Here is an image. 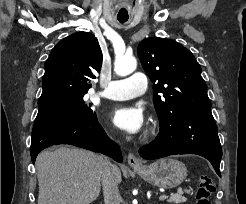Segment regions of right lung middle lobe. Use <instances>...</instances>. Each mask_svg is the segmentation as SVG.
Returning <instances> with one entry per match:
<instances>
[{
  "label": "right lung middle lobe",
  "mask_w": 246,
  "mask_h": 204,
  "mask_svg": "<svg viewBox=\"0 0 246 204\" xmlns=\"http://www.w3.org/2000/svg\"><path fill=\"white\" fill-rule=\"evenodd\" d=\"M86 92L67 93L60 96L39 101V110H56L82 118L90 117L95 113L90 108L91 104H85L83 96Z\"/></svg>",
  "instance_id": "obj_1"
}]
</instances>
